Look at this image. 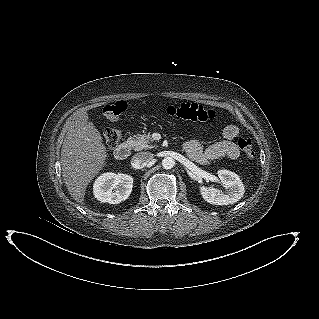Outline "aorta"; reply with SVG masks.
<instances>
[{
    "label": "aorta",
    "mask_w": 319,
    "mask_h": 319,
    "mask_svg": "<svg viewBox=\"0 0 319 319\" xmlns=\"http://www.w3.org/2000/svg\"><path fill=\"white\" fill-rule=\"evenodd\" d=\"M162 166L164 169H171L175 166V160L172 157H165L162 160Z\"/></svg>",
    "instance_id": "aorta-1"
}]
</instances>
